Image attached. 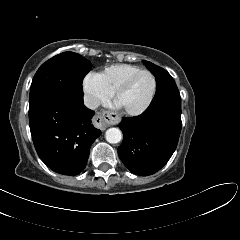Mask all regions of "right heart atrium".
<instances>
[{
	"label": "right heart atrium",
	"instance_id": "d8ad5b80",
	"mask_svg": "<svg viewBox=\"0 0 240 240\" xmlns=\"http://www.w3.org/2000/svg\"><path fill=\"white\" fill-rule=\"evenodd\" d=\"M83 90L93 106L106 103L112 94L96 74H88L83 80Z\"/></svg>",
	"mask_w": 240,
	"mask_h": 240
}]
</instances>
